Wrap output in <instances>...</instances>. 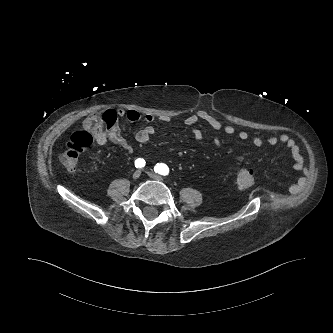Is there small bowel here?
Instances as JSON below:
<instances>
[{"label":"small bowel","instance_id":"small-bowel-1","mask_svg":"<svg viewBox=\"0 0 333 333\" xmlns=\"http://www.w3.org/2000/svg\"><path fill=\"white\" fill-rule=\"evenodd\" d=\"M119 114L121 116L126 117V119L128 121L133 122V123L139 122L141 120L146 122V126H144L142 129H140L135 135V140L139 144H146L150 140L151 136L154 135L155 127L152 124L155 122V120L158 119L160 122H163V123H167L169 121V118L165 115H161L158 117H156L155 115H153L151 113L142 115L141 113H139L136 110H128L126 112L120 111ZM199 122H204V123L208 124L216 132L224 133L228 136L236 135L242 141H246L249 139V134L246 131H237L233 126L223 124L216 117L212 116L211 114H209L207 112H203V111L197 112L195 114H192V115L186 117L183 121V124L186 127H194ZM194 137L196 139L200 140V139H202L203 134L199 129H194ZM108 140L113 142L114 144L122 147L125 150L131 149V145L123 137L118 126L106 138L99 139L97 141V143L104 144ZM213 142L216 147H220L222 145V140L218 135L214 136ZM265 143L268 144L269 146H276L278 144L285 145L288 148V150L290 151L294 169L300 171L304 168V160H303V156L301 155V152H300V147H299L298 143L287 133H282L277 136L269 135L265 138H262L260 136H254L252 138V144L257 148L262 147ZM301 183H302V181L299 180L298 182H296L295 184L292 185V189H296Z\"/></svg>","mask_w":333,"mask_h":333}]
</instances>
